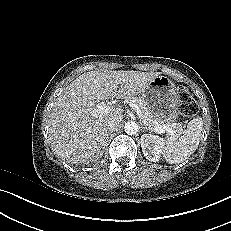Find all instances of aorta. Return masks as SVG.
Here are the masks:
<instances>
[{"label": "aorta", "mask_w": 231, "mask_h": 231, "mask_svg": "<svg viewBox=\"0 0 231 231\" xmlns=\"http://www.w3.org/2000/svg\"><path fill=\"white\" fill-rule=\"evenodd\" d=\"M124 130L128 135H135L139 130V126L135 121H128L125 123Z\"/></svg>", "instance_id": "obj_1"}]
</instances>
